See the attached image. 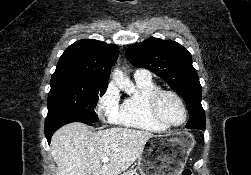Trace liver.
I'll list each match as a JSON object with an SVG mask.
<instances>
[{
  "label": "liver",
  "instance_id": "liver-1",
  "mask_svg": "<svg viewBox=\"0 0 251 175\" xmlns=\"http://www.w3.org/2000/svg\"><path fill=\"white\" fill-rule=\"evenodd\" d=\"M153 137L149 131L110 127L92 133L85 123H67L51 139L56 175H118L128 169ZM109 157V161H101Z\"/></svg>",
  "mask_w": 251,
  "mask_h": 175
}]
</instances>
